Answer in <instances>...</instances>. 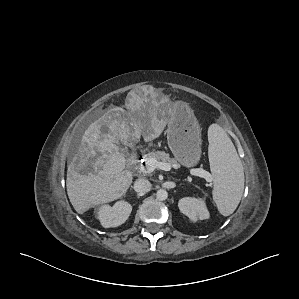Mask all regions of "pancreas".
Wrapping results in <instances>:
<instances>
[{"label": "pancreas", "mask_w": 299, "mask_h": 299, "mask_svg": "<svg viewBox=\"0 0 299 299\" xmlns=\"http://www.w3.org/2000/svg\"><path fill=\"white\" fill-rule=\"evenodd\" d=\"M150 159H156L159 162L168 163L171 167H179L177 161L173 158H170L169 154L165 153L164 151H153L148 153L145 156V161L147 162Z\"/></svg>", "instance_id": "pancreas-1"}]
</instances>
